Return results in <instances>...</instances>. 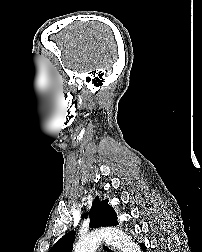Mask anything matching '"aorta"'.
<instances>
[{
  "label": "aorta",
  "mask_w": 202,
  "mask_h": 252,
  "mask_svg": "<svg viewBox=\"0 0 202 252\" xmlns=\"http://www.w3.org/2000/svg\"><path fill=\"white\" fill-rule=\"evenodd\" d=\"M102 238L122 252H141L130 236L116 228H108L89 234L78 241L74 247V252H96Z\"/></svg>",
  "instance_id": "1"
}]
</instances>
